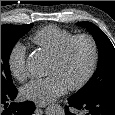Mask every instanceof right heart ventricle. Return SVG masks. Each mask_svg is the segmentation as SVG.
Masks as SVG:
<instances>
[{"label":"right heart ventricle","instance_id":"e07e8e85","mask_svg":"<svg viewBox=\"0 0 115 115\" xmlns=\"http://www.w3.org/2000/svg\"><path fill=\"white\" fill-rule=\"evenodd\" d=\"M72 36H74V34L66 29L54 25H48L38 30L33 35L32 41L52 57Z\"/></svg>","mask_w":115,"mask_h":115}]
</instances>
